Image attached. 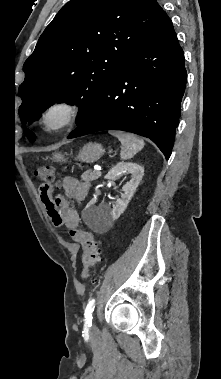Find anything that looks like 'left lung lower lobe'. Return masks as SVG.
I'll return each mask as SVG.
<instances>
[{
	"label": "left lung lower lobe",
	"instance_id": "obj_1",
	"mask_svg": "<svg viewBox=\"0 0 221 379\" xmlns=\"http://www.w3.org/2000/svg\"><path fill=\"white\" fill-rule=\"evenodd\" d=\"M186 70L172 22L163 11L155 28L107 81L68 139L123 130L151 139L171 155Z\"/></svg>",
	"mask_w": 221,
	"mask_h": 379
}]
</instances>
